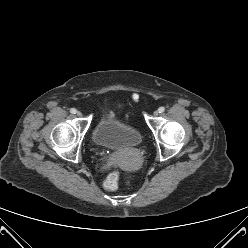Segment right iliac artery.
Listing matches in <instances>:
<instances>
[{"mask_svg":"<svg viewBox=\"0 0 248 248\" xmlns=\"http://www.w3.org/2000/svg\"><path fill=\"white\" fill-rule=\"evenodd\" d=\"M70 112H71L72 114H76V109H75V108H71V109H70Z\"/></svg>","mask_w":248,"mask_h":248,"instance_id":"right-iliac-artery-1","label":"right iliac artery"}]
</instances>
